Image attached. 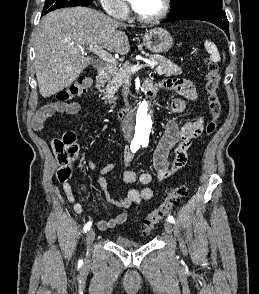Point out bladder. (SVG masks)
Wrapping results in <instances>:
<instances>
[{"instance_id":"bladder-1","label":"bladder","mask_w":259,"mask_h":294,"mask_svg":"<svg viewBox=\"0 0 259 294\" xmlns=\"http://www.w3.org/2000/svg\"><path fill=\"white\" fill-rule=\"evenodd\" d=\"M115 244L126 249H136V248H139L143 243L133 241L124 236H118L115 239Z\"/></svg>"}]
</instances>
